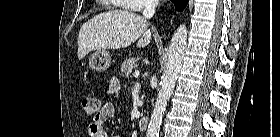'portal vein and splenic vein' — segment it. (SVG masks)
Masks as SVG:
<instances>
[{
    "mask_svg": "<svg viewBox=\"0 0 280 137\" xmlns=\"http://www.w3.org/2000/svg\"><path fill=\"white\" fill-rule=\"evenodd\" d=\"M139 75H140V72H139L138 70H136V71L134 72V77H135V78H138Z\"/></svg>",
    "mask_w": 280,
    "mask_h": 137,
    "instance_id": "1",
    "label": "portal vein and splenic vein"
}]
</instances>
